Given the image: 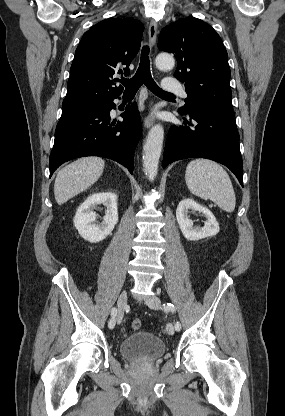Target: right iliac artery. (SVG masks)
Segmentation results:
<instances>
[{"label": "right iliac artery", "mask_w": 285, "mask_h": 416, "mask_svg": "<svg viewBox=\"0 0 285 416\" xmlns=\"http://www.w3.org/2000/svg\"><path fill=\"white\" fill-rule=\"evenodd\" d=\"M116 314H117V308L116 307H113L111 309V319H110V321L108 323V327L109 328H113L115 326V316H116Z\"/></svg>", "instance_id": "1"}]
</instances>
